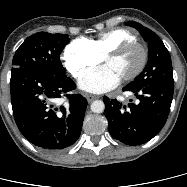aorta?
<instances>
[{
	"mask_svg": "<svg viewBox=\"0 0 187 187\" xmlns=\"http://www.w3.org/2000/svg\"><path fill=\"white\" fill-rule=\"evenodd\" d=\"M90 108L94 113H102L105 109V104L102 100H95L91 103Z\"/></svg>",
	"mask_w": 187,
	"mask_h": 187,
	"instance_id": "762f6f07",
	"label": "aorta"
}]
</instances>
